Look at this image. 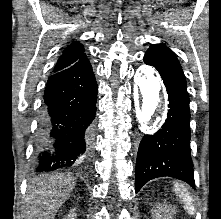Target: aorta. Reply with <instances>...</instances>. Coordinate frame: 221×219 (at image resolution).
I'll use <instances>...</instances> for the list:
<instances>
[{
    "label": "aorta",
    "mask_w": 221,
    "mask_h": 219,
    "mask_svg": "<svg viewBox=\"0 0 221 219\" xmlns=\"http://www.w3.org/2000/svg\"><path fill=\"white\" fill-rule=\"evenodd\" d=\"M136 90L135 115L139 124L149 123L161 106L164 98L160 79L154 74L151 66L138 68L134 77Z\"/></svg>",
    "instance_id": "obj_1"
}]
</instances>
